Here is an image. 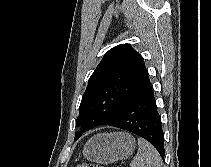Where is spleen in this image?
<instances>
[{
	"mask_svg": "<svg viewBox=\"0 0 211 167\" xmlns=\"http://www.w3.org/2000/svg\"><path fill=\"white\" fill-rule=\"evenodd\" d=\"M139 149L130 167H163L158 151L143 138L138 139Z\"/></svg>",
	"mask_w": 211,
	"mask_h": 167,
	"instance_id": "3e777b00",
	"label": "spleen"
}]
</instances>
